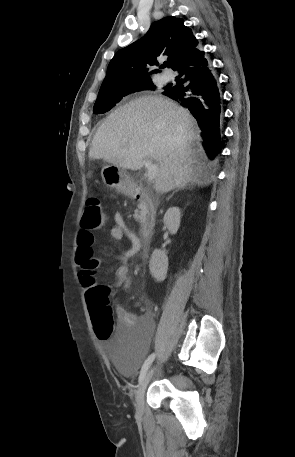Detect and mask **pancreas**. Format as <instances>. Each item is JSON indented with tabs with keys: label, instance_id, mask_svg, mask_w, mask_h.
I'll return each instance as SVG.
<instances>
[{
	"label": "pancreas",
	"instance_id": "1",
	"mask_svg": "<svg viewBox=\"0 0 295 457\" xmlns=\"http://www.w3.org/2000/svg\"><path fill=\"white\" fill-rule=\"evenodd\" d=\"M135 219L136 220H141L142 219L141 211H139V210L135 211Z\"/></svg>",
	"mask_w": 295,
	"mask_h": 457
}]
</instances>
